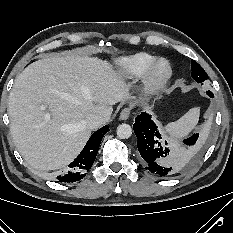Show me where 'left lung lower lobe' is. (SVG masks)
I'll return each instance as SVG.
<instances>
[{"label": "left lung lower lobe", "instance_id": "obj_1", "mask_svg": "<svg viewBox=\"0 0 233 233\" xmlns=\"http://www.w3.org/2000/svg\"><path fill=\"white\" fill-rule=\"evenodd\" d=\"M207 94L214 97L211 91ZM133 129L138 139V150L145 161V169L155 175L170 177L180 168L191 166L201 154L198 134L185 139L181 148L170 147L146 112L136 117Z\"/></svg>", "mask_w": 233, "mask_h": 233}]
</instances>
